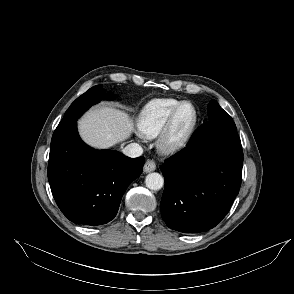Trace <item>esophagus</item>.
<instances>
[{"mask_svg":"<svg viewBox=\"0 0 294 294\" xmlns=\"http://www.w3.org/2000/svg\"><path fill=\"white\" fill-rule=\"evenodd\" d=\"M156 169V163L153 160H147L144 164L143 170L146 173L152 172Z\"/></svg>","mask_w":294,"mask_h":294,"instance_id":"esophagus-1","label":"esophagus"}]
</instances>
